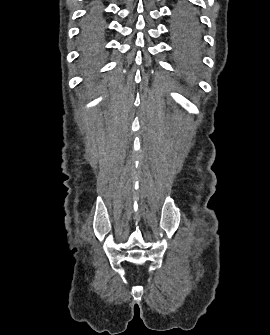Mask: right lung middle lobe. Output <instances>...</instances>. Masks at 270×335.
Returning a JSON list of instances; mask_svg holds the SVG:
<instances>
[{"label": "right lung middle lobe", "instance_id": "dd1d6c3e", "mask_svg": "<svg viewBox=\"0 0 270 335\" xmlns=\"http://www.w3.org/2000/svg\"><path fill=\"white\" fill-rule=\"evenodd\" d=\"M100 15V6L94 4L90 7L87 14L85 23H84V34L91 36L94 34L101 26V21L99 18Z\"/></svg>", "mask_w": 270, "mask_h": 335}]
</instances>
